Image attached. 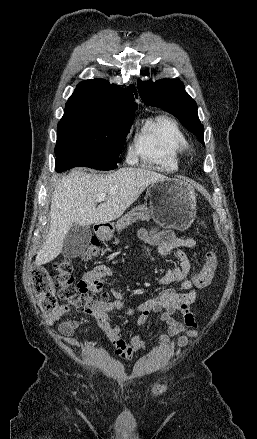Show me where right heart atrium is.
<instances>
[{"label": "right heart atrium", "mask_w": 257, "mask_h": 439, "mask_svg": "<svg viewBox=\"0 0 257 439\" xmlns=\"http://www.w3.org/2000/svg\"><path fill=\"white\" fill-rule=\"evenodd\" d=\"M134 156H135V154H134L133 152H130L129 155H128V157H129L130 159L134 158Z\"/></svg>", "instance_id": "d8ad5b80"}]
</instances>
